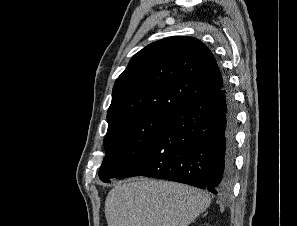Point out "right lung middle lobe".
<instances>
[{"mask_svg":"<svg viewBox=\"0 0 297 226\" xmlns=\"http://www.w3.org/2000/svg\"><path fill=\"white\" fill-rule=\"evenodd\" d=\"M172 112H149L124 118L108 126L104 139L106 156L99 169L103 182H110L147 148Z\"/></svg>","mask_w":297,"mask_h":226,"instance_id":"obj_1","label":"right lung middle lobe"}]
</instances>
